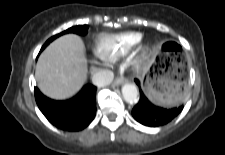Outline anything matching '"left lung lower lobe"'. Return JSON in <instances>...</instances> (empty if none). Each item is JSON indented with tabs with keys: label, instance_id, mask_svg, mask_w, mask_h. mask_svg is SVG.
Returning a JSON list of instances; mask_svg holds the SVG:
<instances>
[{
	"label": "left lung lower lobe",
	"instance_id": "1",
	"mask_svg": "<svg viewBox=\"0 0 225 155\" xmlns=\"http://www.w3.org/2000/svg\"><path fill=\"white\" fill-rule=\"evenodd\" d=\"M135 81L140 89V99L139 102L133 108L132 115L134 119L139 123L149 127L162 126L170 122L182 111L183 105L172 109H164L155 106L143 94L140 88L139 81L138 80Z\"/></svg>",
	"mask_w": 225,
	"mask_h": 155
}]
</instances>
